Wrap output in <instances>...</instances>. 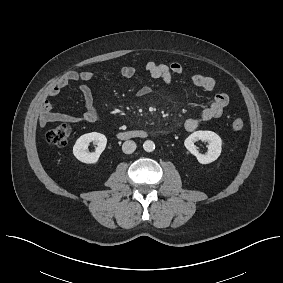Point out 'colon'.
<instances>
[{"mask_svg":"<svg viewBox=\"0 0 283 283\" xmlns=\"http://www.w3.org/2000/svg\"><path fill=\"white\" fill-rule=\"evenodd\" d=\"M244 121L241 118H234L231 126L234 130H242L244 128ZM71 135V126L68 123L59 124L46 133L47 141L57 147L65 146Z\"/></svg>","mask_w":283,"mask_h":283,"instance_id":"obj_1","label":"colon"}]
</instances>
